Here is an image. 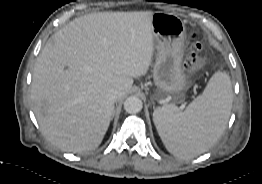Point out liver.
I'll return each instance as SVG.
<instances>
[{
  "instance_id": "obj_1",
  "label": "liver",
  "mask_w": 262,
  "mask_h": 184,
  "mask_svg": "<svg viewBox=\"0 0 262 184\" xmlns=\"http://www.w3.org/2000/svg\"><path fill=\"white\" fill-rule=\"evenodd\" d=\"M152 11L98 12L74 19L50 37L34 66L33 111L43 135L60 149L85 153L102 142L133 78L145 75L154 51Z\"/></svg>"
}]
</instances>
